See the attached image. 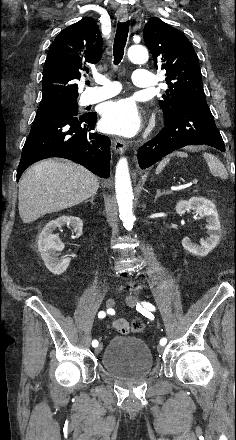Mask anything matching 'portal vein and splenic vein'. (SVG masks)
Masks as SVG:
<instances>
[{
	"instance_id": "1",
	"label": "portal vein and splenic vein",
	"mask_w": 236,
	"mask_h": 440,
	"mask_svg": "<svg viewBox=\"0 0 236 440\" xmlns=\"http://www.w3.org/2000/svg\"><path fill=\"white\" fill-rule=\"evenodd\" d=\"M197 182H198V180H197V179H194L193 182H192V184H197Z\"/></svg>"
}]
</instances>
